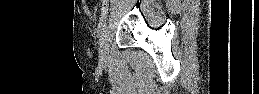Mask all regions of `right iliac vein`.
<instances>
[{"instance_id":"63e3f726","label":"right iliac vein","mask_w":259,"mask_h":94,"mask_svg":"<svg viewBox=\"0 0 259 94\" xmlns=\"http://www.w3.org/2000/svg\"><path fill=\"white\" fill-rule=\"evenodd\" d=\"M107 40H108V33H107V28H103L102 33L100 35L99 39V52L101 55L102 59H105L107 57Z\"/></svg>"}]
</instances>
